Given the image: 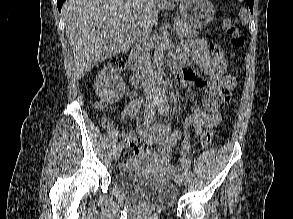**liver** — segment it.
Instances as JSON below:
<instances>
[{"instance_id": "1", "label": "liver", "mask_w": 293, "mask_h": 219, "mask_svg": "<svg viewBox=\"0 0 293 219\" xmlns=\"http://www.w3.org/2000/svg\"><path fill=\"white\" fill-rule=\"evenodd\" d=\"M66 0L62 6L76 74L126 53L138 30L147 33L158 20L157 0ZM178 1V0H174Z\"/></svg>"}]
</instances>
